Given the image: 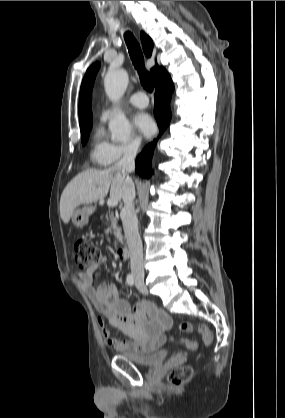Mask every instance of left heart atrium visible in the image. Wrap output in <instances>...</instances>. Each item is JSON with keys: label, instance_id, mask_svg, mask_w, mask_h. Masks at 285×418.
Wrapping results in <instances>:
<instances>
[{"label": "left heart atrium", "instance_id": "left-heart-atrium-1", "mask_svg": "<svg viewBox=\"0 0 285 418\" xmlns=\"http://www.w3.org/2000/svg\"><path fill=\"white\" fill-rule=\"evenodd\" d=\"M134 126L145 138H149L156 131V124L153 118L145 112H139L134 116Z\"/></svg>", "mask_w": 285, "mask_h": 418}]
</instances>
